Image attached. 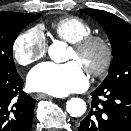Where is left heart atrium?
Segmentation results:
<instances>
[{"instance_id":"1","label":"left heart atrium","mask_w":131,"mask_h":131,"mask_svg":"<svg viewBox=\"0 0 131 131\" xmlns=\"http://www.w3.org/2000/svg\"><path fill=\"white\" fill-rule=\"evenodd\" d=\"M27 83L33 91L64 96L84 90L88 85V79L82 66L76 61L65 64L46 62L29 72Z\"/></svg>"}]
</instances>
